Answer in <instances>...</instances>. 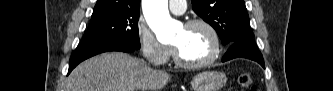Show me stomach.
<instances>
[{
    "label": "stomach",
    "mask_w": 333,
    "mask_h": 91,
    "mask_svg": "<svg viewBox=\"0 0 333 91\" xmlns=\"http://www.w3.org/2000/svg\"><path fill=\"white\" fill-rule=\"evenodd\" d=\"M227 78L224 73L218 71H206L195 76L191 82L194 91H219Z\"/></svg>",
    "instance_id": "0dacf381"
}]
</instances>
